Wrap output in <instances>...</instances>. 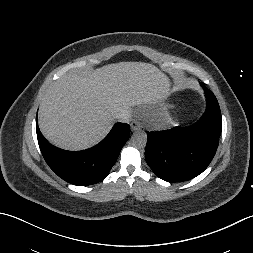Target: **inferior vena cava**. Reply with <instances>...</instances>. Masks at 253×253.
<instances>
[{"label":"inferior vena cava","instance_id":"1","mask_svg":"<svg viewBox=\"0 0 253 253\" xmlns=\"http://www.w3.org/2000/svg\"><path fill=\"white\" fill-rule=\"evenodd\" d=\"M115 119L119 122H130L131 121V113L129 110H125L115 114Z\"/></svg>","mask_w":253,"mask_h":253}]
</instances>
